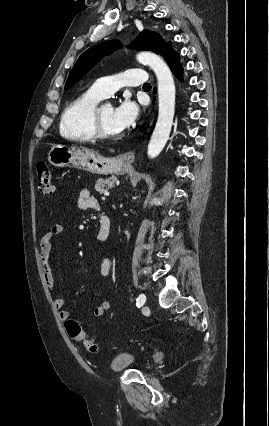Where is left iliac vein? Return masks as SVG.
I'll return each instance as SVG.
<instances>
[{"label": "left iliac vein", "mask_w": 269, "mask_h": 426, "mask_svg": "<svg viewBox=\"0 0 269 426\" xmlns=\"http://www.w3.org/2000/svg\"><path fill=\"white\" fill-rule=\"evenodd\" d=\"M143 311H144V313L148 314L149 313V308L147 306H144L143 307Z\"/></svg>", "instance_id": "4c4485c4"}]
</instances>
